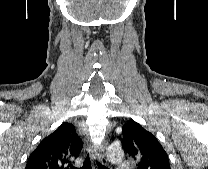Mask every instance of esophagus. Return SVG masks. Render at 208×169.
I'll return each mask as SVG.
<instances>
[{
    "mask_svg": "<svg viewBox=\"0 0 208 169\" xmlns=\"http://www.w3.org/2000/svg\"><path fill=\"white\" fill-rule=\"evenodd\" d=\"M105 147H106L105 144H102V145L99 147V149H98V151H99L98 161H99L102 165L107 166V165H108V160H107V158H106V157L104 156V154H103V152H104V150H105Z\"/></svg>",
    "mask_w": 208,
    "mask_h": 169,
    "instance_id": "34e87169",
    "label": "esophagus"
}]
</instances>
